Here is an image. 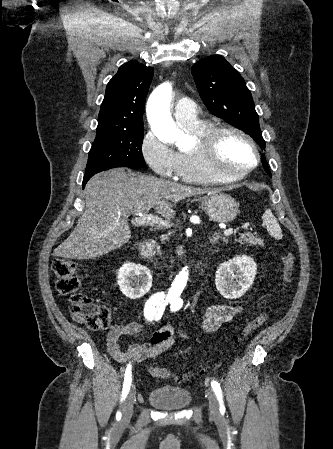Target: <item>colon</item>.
I'll use <instances>...</instances> for the list:
<instances>
[{"instance_id":"colon-1","label":"colon","mask_w":333,"mask_h":449,"mask_svg":"<svg viewBox=\"0 0 333 449\" xmlns=\"http://www.w3.org/2000/svg\"><path fill=\"white\" fill-rule=\"evenodd\" d=\"M285 291L291 284L296 264L295 255L286 251L281 258ZM52 271L57 278L56 289L63 295L70 296V311L74 320L83 323L91 330H104L110 325L111 310L105 304H98L94 299L82 291V280L76 271V264L68 258L56 257L51 264ZM268 317L264 311L246 321L239 341L255 332ZM150 373L154 377L167 378L172 374L160 366H152Z\"/></svg>"}]
</instances>
